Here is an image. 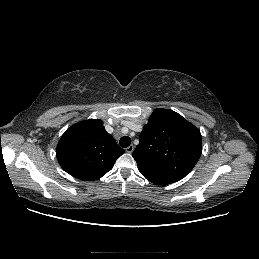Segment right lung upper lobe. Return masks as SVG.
<instances>
[{
	"mask_svg": "<svg viewBox=\"0 0 259 259\" xmlns=\"http://www.w3.org/2000/svg\"><path fill=\"white\" fill-rule=\"evenodd\" d=\"M123 153L99 119L71 126L62 135L56 149L60 166L68 174L88 181L97 180L109 172Z\"/></svg>",
	"mask_w": 259,
	"mask_h": 259,
	"instance_id": "cb5924a9",
	"label": "right lung upper lobe"
}]
</instances>
